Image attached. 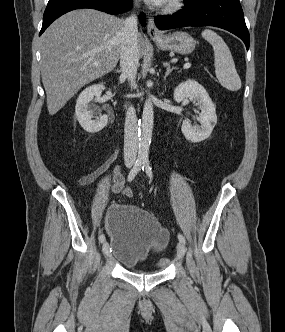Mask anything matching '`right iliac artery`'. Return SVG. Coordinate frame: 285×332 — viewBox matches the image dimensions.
<instances>
[{"mask_svg": "<svg viewBox=\"0 0 285 332\" xmlns=\"http://www.w3.org/2000/svg\"><path fill=\"white\" fill-rule=\"evenodd\" d=\"M143 161L141 160H137L136 163L134 164L133 168L131 169V171L129 172L128 175V181L131 182L135 176L137 175V173L140 171L141 168H143ZM99 241L102 243L105 241V235L101 234L99 236Z\"/></svg>", "mask_w": 285, "mask_h": 332, "instance_id": "right-iliac-artery-1", "label": "right iliac artery"}]
</instances>
